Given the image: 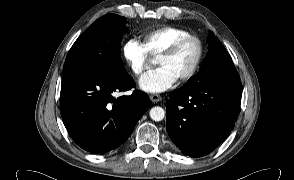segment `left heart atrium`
I'll list each match as a JSON object with an SVG mask.
<instances>
[{
  "instance_id": "left-heart-atrium-1",
  "label": "left heart atrium",
  "mask_w": 294,
  "mask_h": 180,
  "mask_svg": "<svg viewBox=\"0 0 294 180\" xmlns=\"http://www.w3.org/2000/svg\"><path fill=\"white\" fill-rule=\"evenodd\" d=\"M177 78L163 66L152 70L140 78V88L149 93H161L170 89L176 82Z\"/></svg>"
}]
</instances>
